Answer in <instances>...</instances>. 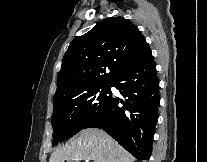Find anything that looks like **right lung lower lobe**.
Masks as SVG:
<instances>
[{"label": "right lung lower lobe", "instance_id": "obj_1", "mask_svg": "<svg viewBox=\"0 0 207 162\" xmlns=\"http://www.w3.org/2000/svg\"><path fill=\"white\" fill-rule=\"evenodd\" d=\"M112 86L126 101L112 97L85 128H103L137 160H149L160 102L153 57L126 69Z\"/></svg>", "mask_w": 207, "mask_h": 162}]
</instances>
